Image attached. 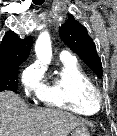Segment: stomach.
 <instances>
[{
    "mask_svg": "<svg viewBox=\"0 0 117 136\" xmlns=\"http://www.w3.org/2000/svg\"><path fill=\"white\" fill-rule=\"evenodd\" d=\"M70 136H90V133L86 127H77L75 128Z\"/></svg>",
    "mask_w": 117,
    "mask_h": 136,
    "instance_id": "0dacf381",
    "label": "stomach"
}]
</instances>
